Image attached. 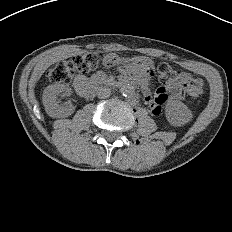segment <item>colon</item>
<instances>
[{
	"instance_id": "5ec220e1",
	"label": "colon",
	"mask_w": 232,
	"mask_h": 232,
	"mask_svg": "<svg viewBox=\"0 0 232 232\" xmlns=\"http://www.w3.org/2000/svg\"><path fill=\"white\" fill-rule=\"evenodd\" d=\"M99 62L100 57L96 53L77 55L68 61L57 64L50 71V80L54 83H68L73 78L83 76L96 69ZM157 72L159 80L163 85L170 84L176 78L174 69L166 63L158 64ZM186 92L190 99H199L203 92L202 83L199 81L190 82L186 86Z\"/></svg>"
}]
</instances>
